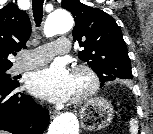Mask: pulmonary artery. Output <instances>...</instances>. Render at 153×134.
<instances>
[{
  "label": "pulmonary artery",
  "mask_w": 153,
  "mask_h": 134,
  "mask_svg": "<svg viewBox=\"0 0 153 134\" xmlns=\"http://www.w3.org/2000/svg\"><path fill=\"white\" fill-rule=\"evenodd\" d=\"M70 50V41L61 37L53 43L43 44L33 50L23 53L22 59L14 65L16 73L23 72L44 65L58 54H66Z\"/></svg>",
  "instance_id": "e3ab8cb5"
}]
</instances>
